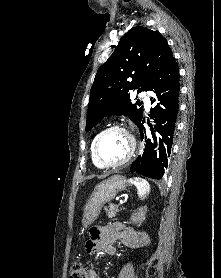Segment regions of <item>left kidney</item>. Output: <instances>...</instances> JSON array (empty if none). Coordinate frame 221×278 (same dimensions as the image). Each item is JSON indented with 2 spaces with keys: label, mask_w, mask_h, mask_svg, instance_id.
<instances>
[{
  "label": "left kidney",
  "mask_w": 221,
  "mask_h": 278,
  "mask_svg": "<svg viewBox=\"0 0 221 278\" xmlns=\"http://www.w3.org/2000/svg\"><path fill=\"white\" fill-rule=\"evenodd\" d=\"M146 211H147L146 206L140 208L138 214L136 215L137 217H135V219H137L138 221H143L145 219Z\"/></svg>",
  "instance_id": "obj_1"
}]
</instances>
